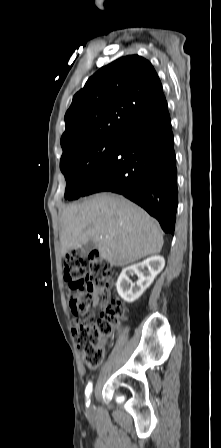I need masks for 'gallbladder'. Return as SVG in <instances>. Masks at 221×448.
Returning <instances> with one entry per match:
<instances>
[{
    "label": "gallbladder",
    "mask_w": 221,
    "mask_h": 448,
    "mask_svg": "<svg viewBox=\"0 0 221 448\" xmlns=\"http://www.w3.org/2000/svg\"><path fill=\"white\" fill-rule=\"evenodd\" d=\"M94 248L95 245L91 241L87 242L86 244L82 245L80 249V256L86 257Z\"/></svg>",
    "instance_id": "gallbladder-1"
}]
</instances>
